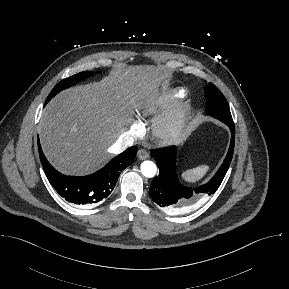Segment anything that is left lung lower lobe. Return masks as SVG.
I'll use <instances>...</instances> for the list:
<instances>
[{
	"instance_id": "left-lung-lower-lobe-1",
	"label": "left lung lower lobe",
	"mask_w": 289,
	"mask_h": 289,
	"mask_svg": "<svg viewBox=\"0 0 289 289\" xmlns=\"http://www.w3.org/2000/svg\"><path fill=\"white\" fill-rule=\"evenodd\" d=\"M231 130V144L227 156L216 174L206 184L190 188L183 186L176 174V147L152 150L151 156L159 167L150 186L152 200L164 211L169 213L185 212L191 209L202 198L214 194L222 183L229 168L234 152L235 127L233 121L224 122Z\"/></svg>"
}]
</instances>
